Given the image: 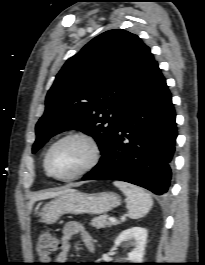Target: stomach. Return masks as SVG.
<instances>
[{
    "label": "stomach",
    "instance_id": "obj_1",
    "mask_svg": "<svg viewBox=\"0 0 205 265\" xmlns=\"http://www.w3.org/2000/svg\"><path fill=\"white\" fill-rule=\"evenodd\" d=\"M120 201L113 192L83 193L76 190L46 203L40 217L43 223L53 224L64 214H104L118 206Z\"/></svg>",
    "mask_w": 205,
    "mask_h": 265
}]
</instances>
